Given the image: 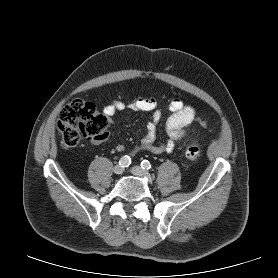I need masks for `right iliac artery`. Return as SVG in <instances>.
<instances>
[{
	"label": "right iliac artery",
	"instance_id": "obj_1",
	"mask_svg": "<svg viewBox=\"0 0 278 278\" xmlns=\"http://www.w3.org/2000/svg\"><path fill=\"white\" fill-rule=\"evenodd\" d=\"M131 164V158L127 155L121 157L119 160V165L123 168L128 167Z\"/></svg>",
	"mask_w": 278,
	"mask_h": 278
}]
</instances>
